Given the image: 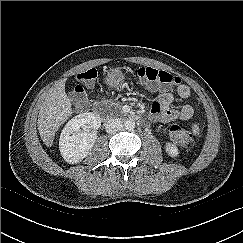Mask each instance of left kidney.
Instances as JSON below:
<instances>
[{
    "instance_id": "obj_1",
    "label": "left kidney",
    "mask_w": 243,
    "mask_h": 243,
    "mask_svg": "<svg viewBox=\"0 0 243 243\" xmlns=\"http://www.w3.org/2000/svg\"><path fill=\"white\" fill-rule=\"evenodd\" d=\"M165 150L168 153V155L171 157H177L179 154L177 146L169 142L166 143Z\"/></svg>"
}]
</instances>
